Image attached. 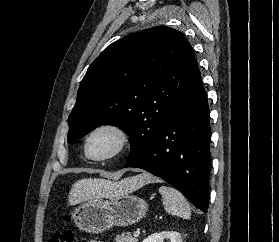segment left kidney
<instances>
[{"label":"left kidney","instance_id":"left-kidney-1","mask_svg":"<svg viewBox=\"0 0 279 242\" xmlns=\"http://www.w3.org/2000/svg\"><path fill=\"white\" fill-rule=\"evenodd\" d=\"M165 238L170 239V242H182L180 233L176 231H162L154 233L142 242H163Z\"/></svg>","mask_w":279,"mask_h":242}]
</instances>
